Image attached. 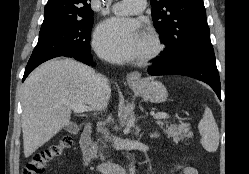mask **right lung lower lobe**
Listing matches in <instances>:
<instances>
[{
	"mask_svg": "<svg viewBox=\"0 0 249 174\" xmlns=\"http://www.w3.org/2000/svg\"><path fill=\"white\" fill-rule=\"evenodd\" d=\"M58 56L71 57V58H74L78 61H81L87 65H94L91 53H71V52L50 53V54L43 55L34 61H29L27 66H26L22 81H24L26 79V77L29 75V73L32 70H34L38 65H40L41 63H43L49 59H52V58L58 57Z\"/></svg>",
	"mask_w": 249,
	"mask_h": 174,
	"instance_id": "98d812e1",
	"label": "right lung lower lobe"
}]
</instances>
